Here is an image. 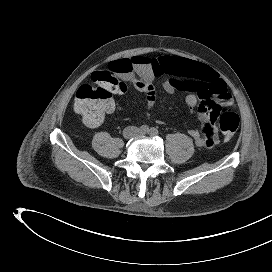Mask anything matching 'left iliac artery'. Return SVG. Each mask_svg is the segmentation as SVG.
Here are the masks:
<instances>
[{
	"instance_id": "obj_1",
	"label": "left iliac artery",
	"mask_w": 272,
	"mask_h": 272,
	"mask_svg": "<svg viewBox=\"0 0 272 272\" xmlns=\"http://www.w3.org/2000/svg\"><path fill=\"white\" fill-rule=\"evenodd\" d=\"M149 134H150L151 136H155V135L158 134V130H157L156 128L152 127V128L149 130Z\"/></svg>"
}]
</instances>
